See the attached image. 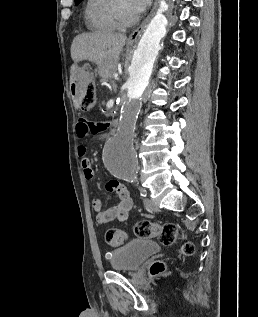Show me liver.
Here are the masks:
<instances>
[{
  "mask_svg": "<svg viewBox=\"0 0 258 317\" xmlns=\"http://www.w3.org/2000/svg\"><path fill=\"white\" fill-rule=\"evenodd\" d=\"M127 36L123 32L110 30H94L77 34L71 44V56L74 62L92 60L99 70L111 72L116 68L120 50H122Z\"/></svg>",
  "mask_w": 258,
  "mask_h": 317,
  "instance_id": "1",
  "label": "liver"
}]
</instances>
